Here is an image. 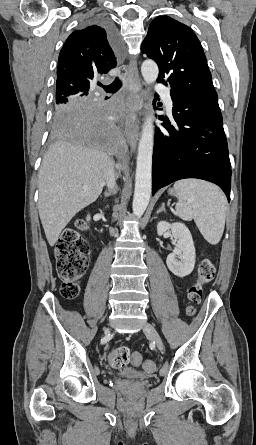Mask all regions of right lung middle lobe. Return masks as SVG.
Instances as JSON below:
<instances>
[{
    "label": "right lung middle lobe",
    "instance_id": "obj_1",
    "mask_svg": "<svg viewBox=\"0 0 256 445\" xmlns=\"http://www.w3.org/2000/svg\"><path fill=\"white\" fill-rule=\"evenodd\" d=\"M87 98H90V97H88V93H86V94H79L77 96H72V97H69L68 99H65V100H59L56 97V102H55V107H54V118L56 119L58 116L63 114V112L67 108H70L71 106H73L77 101L83 100V99H87ZM55 119H54L53 133L55 135H60V136L62 135V136H66L67 137V133L65 131L60 130L56 126Z\"/></svg>",
    "mask_w": 256,
    "mask_h": 445
}]
</instances>
